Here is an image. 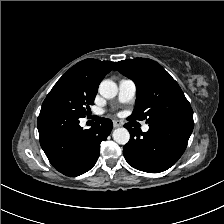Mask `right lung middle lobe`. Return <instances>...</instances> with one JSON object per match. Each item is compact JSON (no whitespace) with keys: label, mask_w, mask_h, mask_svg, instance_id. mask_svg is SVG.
Wrapping results in <instances>:
<instances>
[{"label":"right lung middle lobe","mask_w":224,"mask_h":224,"mask_svg":"<svg viewBox=\"0 0 224 224\" xmlns=\"http://www.w3.org/2000/svg\"><path fill=\"white\" fill-rule=\"evenodd\" d=\"M96 94L97 90L83 81L64 74L48 93L41 109H54L82 118L90 111Z\"/></svg>","instance_id":"dd1d6c3e"}]
</instances>
